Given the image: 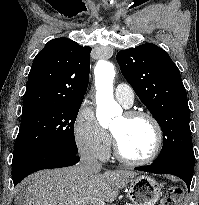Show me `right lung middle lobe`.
<instances>
[{
	"mask_svg": "<svg viewBox=\"0 0 199 205\" xmlns=\"http://www.w3.org/2000/svg\"><path fill=\"white\" fill-rule=\"evenodd\" d=\"M81 104H52L22 111L12 165L50 150L77 154L74 123Z\"/></svg>",
	"mask_w": 199,
	"mask_h": 205,
	"instance_id": "1",
	"label": "right lung middle lobe"
}]
</instances>
